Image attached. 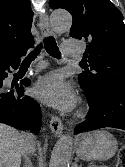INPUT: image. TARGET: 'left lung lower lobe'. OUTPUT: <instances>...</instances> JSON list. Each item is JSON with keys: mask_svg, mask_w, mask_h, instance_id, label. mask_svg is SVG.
<instances>
[{"mask_svg": "<svg viewBox=\"0 0 125 167\" xmlns=\"http://www.w3.org/2000/svg\"><path fill=\"white\" fill-rule=\"evenodd\" d=\"M88 104L89 117L76 126L74 134L104 127L125 130V86L104 87Z\"/></svg>", "mask_w": 125, "mask_h": 167, "instance_id": "1", "label": "left lung lower lobe"}]
</instances>
